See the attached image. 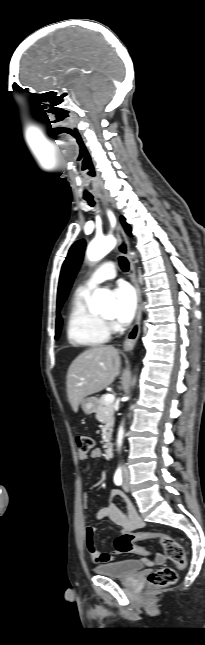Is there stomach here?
Instances as JSON below:
<instances>
[{
	"mask_svg": "<svg viewBox=\"0 0 205 645\" xmlns=\"http://www.w3.org/2000/svg\"><path fill=\"white\" fill-rule=\"evenodd\" d=\"M97 405L98 399L96 397L85 398L81 402V408L87 414L94 413L96 411Z\"/></svg>",
	"mask_w": 205,
	"mask_h": 645,
	"instance_id": "obj_1",
	"label": "stomach"
}]
</instances>
